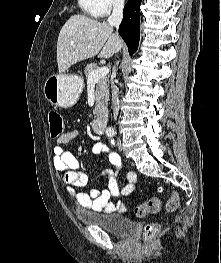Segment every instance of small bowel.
Returning a JSON list of instances; mask_svg holds the SVG:
<instances>
[{
	"mask_svg": "<svg viewBox=\"0 0 221 263\" xmlns=\"http://www.w3.org/2000/svg\"><path fill=\"white\" fill-rule=\"evenodd\" d=\"M78 136L79 131L73 129L64 133L52 143L53 165L61 173L59 176L60 183L66 188L73 201L82 209L107 214L124 212L126 207L119 197L133 193L137 175L134 172H128L126 174V184L122 188L119 187L117 178L122 164L120 156L117 153L108 152L107 147L102 142H96L92 147L93 153L102 155L108 152V160L116 169L104 171L107 182L103 190H93L89 194L78 190L87 184L88 177L84 172L78 170L79 163L76 157L63 149L64 144L71 142Z\"/></svg>",
	"mask_w": 221,
	"mask_h": 263,
	"instance_id": "obj_1",
	"label": "small bowel"
}]
</instances>
